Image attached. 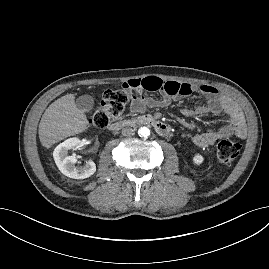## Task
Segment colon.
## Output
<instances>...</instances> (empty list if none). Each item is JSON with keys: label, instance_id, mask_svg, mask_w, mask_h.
<instances>
[{"label": "colon", "instance_id": "colon-1", "mask_svg": "<svg viewBox=\"0 0 269 269\" xmlns=\"http://www.w3.org/2000/svg\"><path fill=\"white\" fill-rule=\"evenodd\" d=\"M130 91L123 86L121 89H109L103 93L100 105L89 119L93 127L104 128L124 111ZM241 150V145L229 139L221 140L217 145V156L224 164L232 163Z\"/></svg>", "mask_w": 269, "mask_h": 269}]
</instances>
